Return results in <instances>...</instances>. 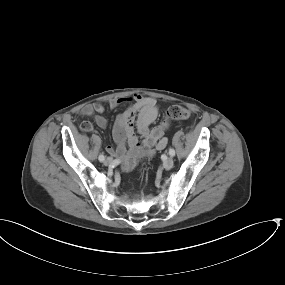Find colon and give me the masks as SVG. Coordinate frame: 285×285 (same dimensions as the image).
Segmentation results:
<instances>
[{
  "label": "colon",
  "instance_id": "colon-1",
  "mask_svg": "<svg viewBox=\"0 0 285 285\" xmlns=\"http://www.w3.org/2000/svg\"><path fill=\"white\" fill-rule=\"evenodd\" d=\"M167 115L174 120L186 119L189 117V110L183 106L174 105L167 110Z\"/></svg>",
  "mask_w": 285,
  "mask_h": 285
}]
</instances>
